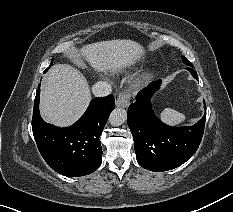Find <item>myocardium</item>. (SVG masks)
<instances>
[{"label":"myocardium","mask_w":233,"mask_h":212,"mask_svg":"<svg viewBox=\"0 0 233 212\" xmlns=\"http://www.w3.org/2000/svg\"><path fill=\"white\" fill-rule=\"evenodd\" d=\"M148 78H149L148 76H144L143 79L140 80V83L146 81Z\"/></svg>","instance_id":"1"}]
</instances>
